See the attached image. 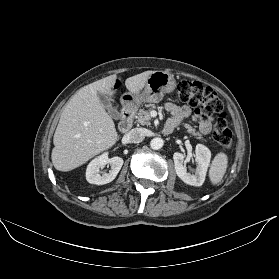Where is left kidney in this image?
I'll return each mask as SVG.
<instances>
[{"mask_svg":"<svg viewBox=\"0 0 279 279\" xmlns=\"http://www.w3.org/2000/svg\"><path fill=\"white\" fill-rule=\"evenodd\" d=\"M210 159V150L202 144H197L195 149V161L197 167L194 173H190L184 166L185 155L178 152L174 153L173 155L175 171L177 176L183 182L192 186H201L204 183L207 169L210 164Z\"/></svg>","mask_w":279,"mask_h":279,"instance_id":"left-kidney-1","label":"left kidney"}]
</instances>
